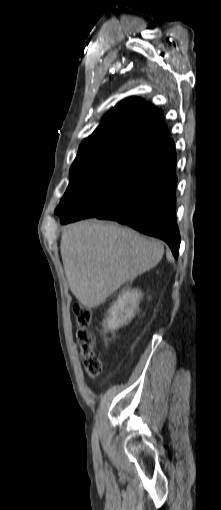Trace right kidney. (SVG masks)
Masks as SVG:
<instances>
[{
	"label": "right kidney",
	"mask_w": 221,
	"mask_h": 510,
	"mask_svg": "<svg viewBox=\"0 0 221 510\" xmlns=\"http://www.w3.org/2000/svg\"><path fill=\"white\" fill-rule=\"evenodd\" d=\"M142 294L138 290H124L118 296V299L109 309V317L107 318V326L111 330L125 324L134 316L138 307Z\"/></svg>",
	"instance_id": "1"
}]
</instances>
